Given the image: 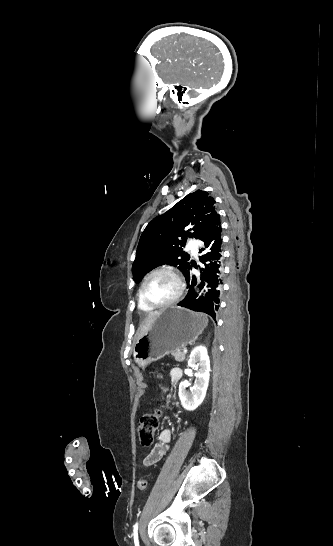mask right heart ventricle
<instances>
[{
  "instance_id": "right-heart-ventricle-1",
  "label": "right heart ventricle",
  "mask_w": 333,
  "mask_h": 546,
  "mask_svg": "<svg viewBox=\"0 0 333 546\" xmlns=\"http://www.w3.org/2000/svg\"><path fill=\"white\" fill-rule=\"evenodd\" d=\"M138 307L140 310L144 311V312H151L154 310L153 307H150L148 306L142 299L141 297V294H140V290L138 292Z\"/></svg>"
}]
</instances>
